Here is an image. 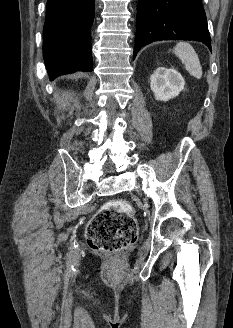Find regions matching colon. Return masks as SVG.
Returning <instances> with one entry per match:
<instances>
[{"label": "colon", "mask_w": 233, "mask_h": 328, "mask_svg": "<svg viewBox=\"0 0 233 328\" xmlns=\"http://www.w3.org/2000/svg\"><path fill=\"white\" fill-rule=\"evenodd\" d=\"M86 237L92 249L102 252L116 253L133 244L137 224L132 206L121 200L106 203L91 219Z\"/></svg>", "instance_id": "colon-1"}]
</instances>
